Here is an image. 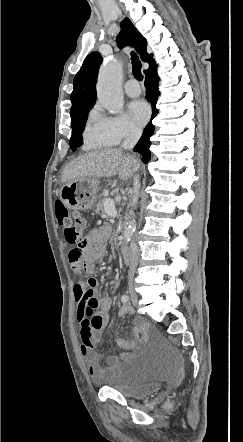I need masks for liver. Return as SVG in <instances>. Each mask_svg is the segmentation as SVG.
<instances>
[{"instance_id":"obj_1","label":"liver","mask_w":243,"mask_h":442,"mask_svg":"<svg viewBox=\"0 0 243 442\" xmlns=\"http://www.w3.org/2000/svg\"><path fill=\"white\" fill-rule=\"evenodd\" d=\"M139 161L130 155H124L121 149L108 148L87 152L71 161L62 173V182L73 179L113 177L121 180L133 176L139 168Z\"/></svg>"}]
</instances>
